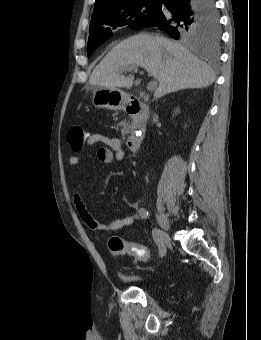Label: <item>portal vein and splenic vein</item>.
<instances>
[{"mask_svg":"<svg viewBox=\"0 0 261 340\" xmlns=\"http://www.w3.org/2000/svg\"><path fill=\"white\" fill-rule=\"evenodd\" d=\"M133 70H137V66H132V67H129V68H126L125 70H122V71H133ZM157 87V83L156 81H151L147 87L148 91L149 92H153Z\"/></svg>","mask_w":261,"mask_h":340,"instance_id":"portal-vein-and-splenic-vein-1","label":"portal vein and splenic vein"}]
</instances>
